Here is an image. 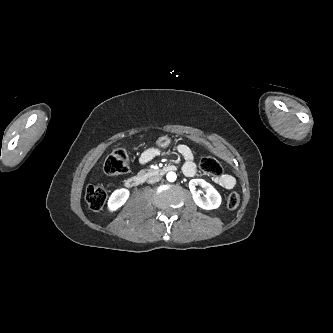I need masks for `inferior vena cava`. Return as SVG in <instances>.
<instances>
[{
    "instance_id": "602c4592",
    "label": "inferior vena cava",
    "mask_w": 333,
    "mask_h": 333,
    "mask_svg": "<svg viewBox=\"0 0 333 333\" xmlns=\"http://www.w3.org/2000/svg\"><path fill=\"white\" fill-rule=\"evenodd\" d=\"M161 180V176H154V177H151L149 180H148V183L150 184H153L155 182H158Z\"/></svg>"
}]
</instances>
